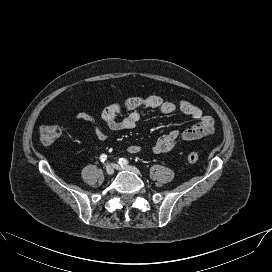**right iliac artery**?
<instances>
[{
    "mask_svg": "<svg viewBox=\"0 0 272 272\" xmlns=\"http://www.w3.org/2000/svg\"><path fill=\"white\" fill-rule=\"evenodd\" d=\"M106 159H107V155L102 154V155L100 156V161H101V162H105Z\"/></svg>",
    "mask_w": 272,
    "mask_h": 272,
    "instance_id": "right-iliac-artery-1",
    "label": "right iliac artery"
}]
</instances>
